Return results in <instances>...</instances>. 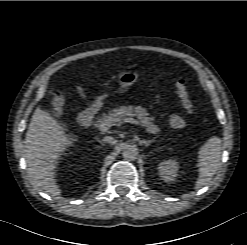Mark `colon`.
I'll list each match as a JSON object with an SVG mask.
<instances>
[{
	"mask_svg": "<svg viewBox=\"0 0 247 245\" xmlns=\"http://www.w3.org/2000/svg\"><path fill=\"white\" fill-rule=\"evenodd\" d=\"M176 91L183 108L191 113L193 112V102L188 90L187 82L181 75L176 76ZM53 109L60 113L64 105V97L60 92H55L52 98ZM169 125L173 129H182L186 125V120L180 115H173L169 120Z\"/></svg>",
	"mask_w": 247,
	"mask_h": 245,
	"instance_id": "5ec220e1",
	"label": "colon"
}]
</instances>
